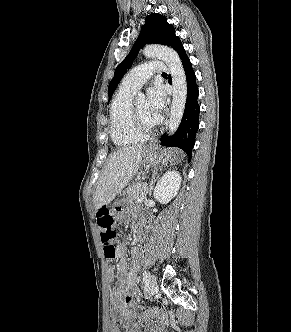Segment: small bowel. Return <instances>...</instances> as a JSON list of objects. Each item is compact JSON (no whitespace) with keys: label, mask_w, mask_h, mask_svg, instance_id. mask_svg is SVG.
<instances>
[{"label":"small bowel","mask_w":291,"mask_h":332,"mask_svg":"<svg viewBox=\"0 0 291 332\" xmlns=\"http://www.w3.org/2000/svg\"><path fill=\"white\" fill-rule=\"evenodd\" d=\"M138 228V227H136ZM126 246L121 244L116 249V257L119 262L116 266L117 288L110 295V303L115 319L124 327L129 328L128 332H139V326H145L148 330L158 329L162 321L150 323L147 319H138L137 310L142 308L138 303V290L136 274L139 261L143 256V249L135 247L131 251L132 263L128 265L126 258ZM109 275H113V270L109 269Z\"/></svg>","instance_id":"1"}]
</instances>
